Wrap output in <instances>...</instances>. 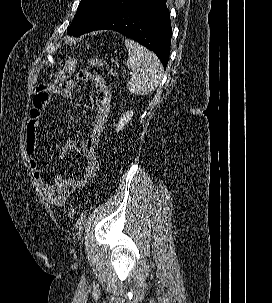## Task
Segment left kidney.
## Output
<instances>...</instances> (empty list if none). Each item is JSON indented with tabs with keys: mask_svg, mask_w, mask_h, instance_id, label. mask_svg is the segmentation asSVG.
Returning a JSON list of instances; mask_svg holds the SVG:
<instances>
[{
	"mask_svg": "<svg viewBox=\"0 0 272 303\" xmlns=\"http://www.w3.org/2000/svg\"><path fill=\"white\" fill-rule=\"evenodd\" d=\"M134 112L133 111H128L123 116L120 118L118 124L116 125V131L117 133L121 130H123L124 126L131 121L133 117Z\"/></svg>",
	"mask_w": 272,
	"mask_h": 303,
	"instance_id": "5707ae66",
	"label": "left kidney"
}]
</instances>
